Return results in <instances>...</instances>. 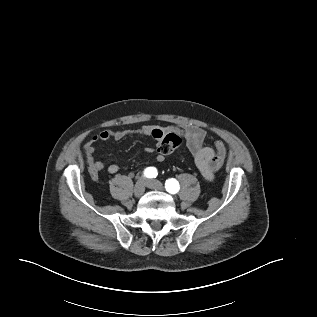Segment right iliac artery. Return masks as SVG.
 <instances>
[{
	"mask_svg": "<svg viewBox=\"0 0 317 317\" xmlns=\"http://www.w3.org/2000/svg\"><path fill=\"white\" fill-rule=\"evenodd\" d=\"M157 175H158V172L155 167H147L144 170V176L147 178H155Z\"/></svg>",
	"mask_w": 317,
	"mask_h": 317,
	"instance_id": "right-iliac-artery-1",
	"label": "right iliac artery"
}]
</instances>
